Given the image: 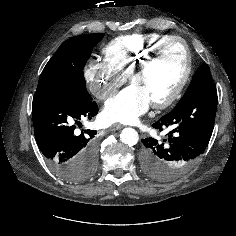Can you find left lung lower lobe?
Returning a JSON list of instances; mask_svg holds the SVG:
<instances>
[{"instance_id": "0a47b994", "label": "left lung lower lobe", "mask_w": 236, "mask_h": 236, "mask_svg": "<svg viewBox=\"0 0 236 236\" xmlns=\"http://www.w3.org/2000/svg\"><path fill=\"white\" fill-rule=\"evenodd\" d=\"M217 92L206 83L181 101L152 126L170 130L163 141L148 137L141 155L143 172L157 180L177 177L190 168L205 151L214 128Z\"/></svg>"}]
</instances>
